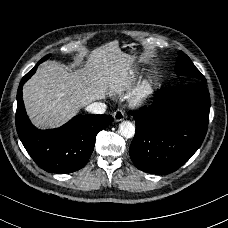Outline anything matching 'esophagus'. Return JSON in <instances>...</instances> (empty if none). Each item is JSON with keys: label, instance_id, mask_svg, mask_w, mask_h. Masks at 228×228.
Listing matches in <instances>:
<instances>
[{"label": "esophagus", "instance_id": "34e87169", "mask_svg": "<svg viewBox=\"0 0 228 228\" xmlns=\"http://www.w3.org/2000/svg\"><path fill=\"white\" fill-rule=\"evenodd\" d=\"M113 118L115 120V122H120L124 119V112L120 109L116 110L114 113H113Z\"/></svg>", "mask_w": 228, "mask_h": 228}]
</instances>
